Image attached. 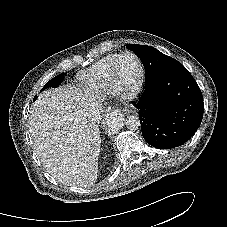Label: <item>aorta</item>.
<instances>
[{
	"mask_svg": "<svg viewBox=\"0 0 227 227\" xmlns=\"http://www.w3.org/2000/svg\"><path fill=\"white\" fill-rule=\"evenodd\" d=\"M106 125L110 130L117 131L123 125H125L129 130H137L141 124L137 115H129L124 119L120 112L113 111L108 114Z\"/></svg>",
	"mask_w": 227,
	"mask_h": 227,
	"instance_id": "obj_1",
	"label": "aorta"
}]
</instances>
